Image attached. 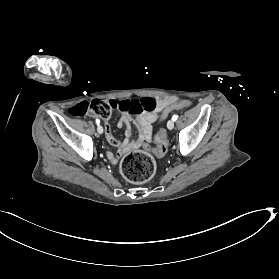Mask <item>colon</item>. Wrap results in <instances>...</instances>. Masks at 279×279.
<instances>
[{
    "instance_id": "obj_1",
    "label": "colon",
    "mask_w": 279,
    "mask_h": 279,
    "mask_svg": "<svg viewBox=\"0 0 279 279\" xmlns=\"http://www.w3.org/2000/svg\"><path fill=\"white\" fill-rule=\"evenodd\" d=\"M156 106L157 101L150 97L121 101L94 99L90 102H82L73 106L70 109V114L73 116L92 114L107 119L114 110L137 115L154 111ZM189 106V101L172 102L167 105L161 118H166L171 112L182 110ZM154 143L155 147L151 152L133 151L123 157L121 173L125 179L132 183L141 184L149 181L154 176L156 170L154 156L163 157L168 149V139L164 129H160L155 134Z\"/></svg>"
}]
</instances>
